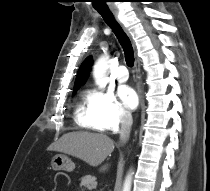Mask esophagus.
Returning <instances> with one entry per match:
<instances>
[{
	"label": "esophagus",
	"instance_id": "obj_1",
	"mask_svg": "<svg viewBox=\"0 0 210 191\" xmlns=\"http://www.w3.org/2000/svg\"><path fill=\"white\" fill-rule=\"evenodd\" d=\"M110 9H111L115 19L117 20V22L127 32V28L124 26V24L119 19L117 8L111 7ZM135 71H136L137 90H138L140 100H142V91H141V87H140V61L138 58H136V60H135Z\"/></svg>",
	"mask_w": 210,
	"mask_h": 191
}]
</instances>
